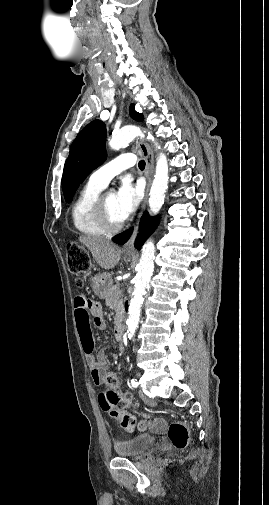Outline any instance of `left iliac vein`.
Segmentation results:
<instances>
[{"mask_svg":"<svg viewBox=\"0 0 269 505\" xmlns=\"http://www.w3.org/2000/svg\"><path fill=\"white\" fill-rule=\"evenodd\" d=\"M139 395L140 397L145 401L147 402V407L149 409H154L156 407V402L154 400H150L145 394L144 392L142 391V389L139 390Z\"/></svg>","mask_w":269,"mask_h":505,"instance_id":"obj_1","label":"left iliac vein"}]
</instances>
